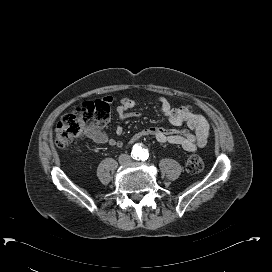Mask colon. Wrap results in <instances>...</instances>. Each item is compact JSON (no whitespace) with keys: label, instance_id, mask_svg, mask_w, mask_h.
Returning <instances> with one entry per match:
<instances>
[{"label":"colon","instance_id":"1","mask_svg":"<svg viewBox=\"0 0 272 272\" xmlns=\"http://www.w3.org/2000/svg\"><path fill=\"white\" fill-rule=\"evenodd\" d=\"M110 119V103L106 98L86 101L72 112L64 115L55 129V144L58 148L69 146L91 130L103 128ZM186 170L197 174L203 170V161L192 154L186 162Z\"/></svg>","mask_w":272,"mask_h":272}]
</instances>
